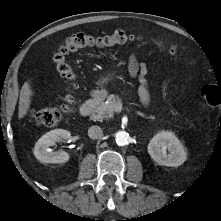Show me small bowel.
Masks as SVG:
<instances>
[{
	"mask_svg": "<svg viewBox=\"0 0 221 221\" xmlns=\"http://www.w3.org/2000/svg\"><path fill=\"white\" fill-rule=\"evenodd\" d=\"M128 72L130 77L136 78L139 77L140 85L138 87V94L141 101L144 104L149 102V92L147 87V82L145 80V75L147 74L146 64L139 62L137 55L132 53L128 60Z\"/></svg>",
	"mask_w": 221,
	"mask_h": 221,
	"instance_id": "small-bowel-1",
	"label": "small bowel"
}]
</instances>
